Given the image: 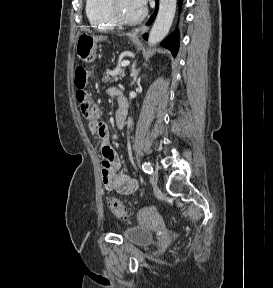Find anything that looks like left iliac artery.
Wrapping results in <instances>:
<instances>
[{
	"label": "left iliac artery",
	"mask_w": 273,
	"mask_h": 288,
	"mask_svg": "<svg viewBox=\"0 0 273 288\" xmlns=\"http://www.w3.org/2000/svg\"><path fill=\"white\" fill-rule=\"evenodd\" d=\"M142 169L145 173L147 174H152L153 173V168L149 162H144L142 164Z\"/></svg>",
	"instance_id": "obj_1"
}]
</instances>
